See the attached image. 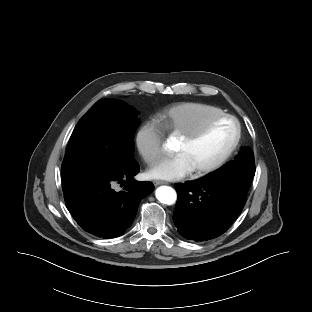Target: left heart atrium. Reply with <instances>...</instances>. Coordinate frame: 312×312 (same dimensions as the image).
Instances as JSON below:
<instances>
[{
	"label": "left heart atrium",
	"instance_id": "1",
	"mask_svg": "<svg viewBox=\"0 0 312 312\" xmlns=\"http://www.w3.org/2000/svg\"><path fill=\"white\" fill-rule=\"evenodd\" d=\"M194 171L185 154L179 153L173 157L163 159L148 171L152 179L180 180Z\"/></svg>",
	"mask_w": 312,
	"mask_h": 312
}]
</instances>
